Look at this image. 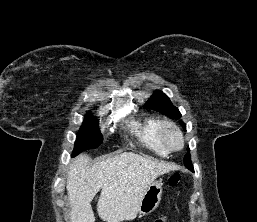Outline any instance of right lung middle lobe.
Here are the masks:
<instances>
[{"label": "right lung middle lobe", "mask_w": 257, "mask_h": 222, "mask_svg": "<svg viewBox=\"0 0 257 222\" xmlns=\"http://www.w3.org/2000/svg\"><path fill=\"white\" fill-rule=\"evenodd\" d=\"M102 143V136L96 118L90 113L86 114L75 142L72 156H76L84 150L98 147Z\"/></svg>", "instance_id": "dd1d6c3e"}]
</instances>
